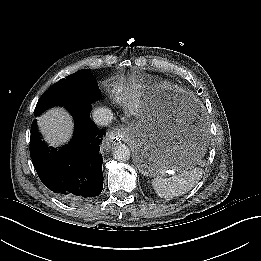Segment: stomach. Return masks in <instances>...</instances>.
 <instances>
[{"label": "stomach", "instance_id": "0dacf381", "mask_svg": "<svg viewBox=\"0 0 261 261\" xmlns=\"http://www.w3.org/2000/svg\"><path fill=\"white\" fill-rule=\"evenodd\" d=\"M189 95L172 86L152 88L143 95L141 112L127 130L140 172L159 176L168 170L193 168L206 151V143L186 124Z\"/></svg>", "mask_w": 261, "mask_h": 261}]
</instances>
